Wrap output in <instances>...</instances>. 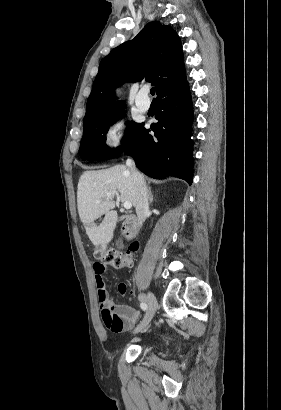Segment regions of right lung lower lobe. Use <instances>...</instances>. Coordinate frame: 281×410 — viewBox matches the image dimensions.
Segmentation results:
<instances>
[{
	"label": "right lung lower lobe",
	"instance_id": "obj_1",
	"mask_svg": "<svg viewBox=\"0 0 281 410\" xmlns=\"http://www.w3.org/2000/svg\"><path fill=\"white\" fill-rule=\"evenodd\" d=\"M154 135L141 124L126 153L137 167L153 178L176 176L189 184L193 179V109L188 82L159 94Z\"/></svg>",
	"mask_w": 281,
	"mask_h": 410
}]
</instances>
